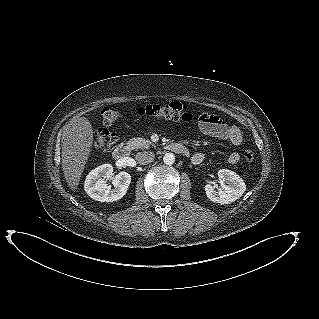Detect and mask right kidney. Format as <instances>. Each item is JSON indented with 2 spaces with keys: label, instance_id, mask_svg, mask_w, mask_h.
<instances>
[{
  "label": "right kidney",
  "instance_id": "obj_1",
  "mask_svg": "<svg viewBox=\"0 0 319 319\" xmlns=\"http://www.w3.org/2000/svg\"><path fill=\"white\" fill-rule=\"evenodd\" d=\"M111 180L114 188L107 184ZM131 175L125 171L113 175L111 164H103L91 170L86 176L84 190L94 200L114 202L120 200L128 190Z\"/></svg>",
  "mask_w": 319,
  "mask_h": 319
}]
</instances>
